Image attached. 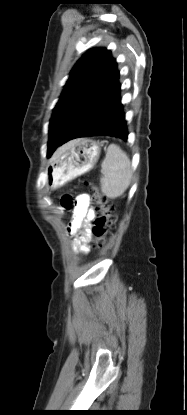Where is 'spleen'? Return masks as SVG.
Returning a JSON list of instances; mask_svg holds the SVG:
<instances>
[{"instance_id": "obj_1", "label": "spleen", "mask_w": 187, "mask_h": 415, "mask_svg": "<svg viewBox=\"0 0 187 415\" xmlns=\"http://www.w3.org/2000/svg\"><path fill=\"white\" fill-rule=\"evenodd\" d=\"M100 178L102 193L111 199L123 195L132 178V166L127 154L116 144L107 148L106 156L101 164Z\"/></svg>"}]
</instances>
